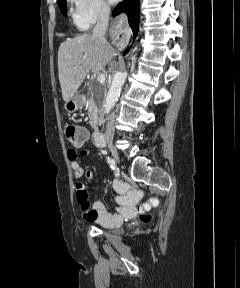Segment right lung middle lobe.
I'll return each instance as SVG.
<instances>
[{
    "label": "right lung middle lobe",
    "mask_w": 240,
    "mask_h": 288,
    "mask_svg": "<svg viewBox=\"0 0 240 288\" xmlns=\"http://www.w3.org/2000/svg\"><path fill=\"white\" fill-rule=\"evenodd\" d=\"M60 11L67 15V9H66V0H58Z\"/></svg>",
    "instance_id": "right-lung-middle-lobe-1"
}]
</instances>
